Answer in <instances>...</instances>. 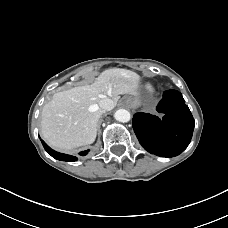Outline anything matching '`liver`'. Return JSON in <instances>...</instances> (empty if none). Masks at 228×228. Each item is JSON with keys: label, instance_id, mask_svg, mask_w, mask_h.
<instances>
[{"label": "liver", "instance_id": "1", "mask_svg": "<svg viewBox=\"0 0 228 228\" xmlns=\"http://www.w3.org/2000/svg\"><path fill=\"white\" fill-rule=\"evenodd\" d=\"M138 82L135 72L113 68L102 72L93 84L55 93L42 110L43 138L51 147L64 152L93 143L98 121L105 112L99 101L111 99L113 109L119 95L137 94Z\"/></svg>", "mask_w": 228, "mask_h": 228}]
</instances>
